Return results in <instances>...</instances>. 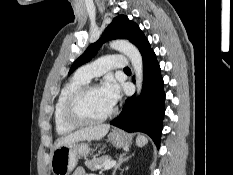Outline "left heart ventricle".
<instances>
[{
    "instance_id": "left-heart-ventricle-1",
    "label": "left heart ventricle",
    "mask_w": 233,
    "mask_h": 175,
    "mask_svg": "<svg viewBox=\"0 0 233 175\" xmlns=\"http://www.w3.org/2000/svg\"><path fill=\"white\" fill-rule=\"evenodd\" d=\"M113 107L109 104L100 88L91 90L81 103V111L88 117H101Z\"/></svg>"
}]
</instances>
